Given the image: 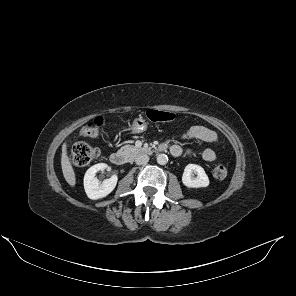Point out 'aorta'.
Listing matches in <instances>:
<instances>
[{
  "instance_id": "762f6f07",
  "label": "aorta",
  "mask_w": 296,
  "mask_h": 296,
  "mask_svg": "<svg viewBox=\"0 0 296 296\" xmlns=\"http://www.w3.org/2000/svg\"><path fill=\"white\" fill-rule=\"evenodd\" d=\"M168 162V157L166 154H159L157 156V163L160 165H165Z\"/></svg>"
}]
</instances>
